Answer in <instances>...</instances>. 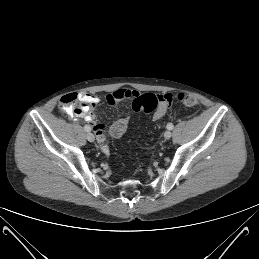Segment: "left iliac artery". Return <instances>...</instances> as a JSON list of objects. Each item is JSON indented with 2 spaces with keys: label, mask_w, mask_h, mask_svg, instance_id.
<instances>
[{
  "label": "left iliac artery",
  "mask_w": 259,
  "mask_h": 259,
  "mask_svg": "<svg viewBox=\"0 0 259 259\" xmlns=\"http://www.w3.org/2000/svg\"><path fill=\"white\" fill-rule=\"evenodd\" d=\"M166 127L168 130H172L174 128V125L172 123H168Z\"/></svg>",
  "instance_id": "obj_1"
}]
</instances>
